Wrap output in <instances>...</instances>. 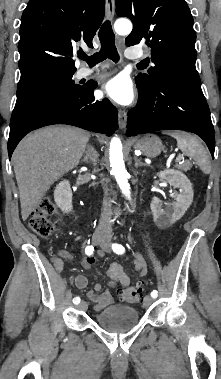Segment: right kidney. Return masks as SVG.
I'll list each match as a JSON object with an SVG mask.
<instances>
[{"label": "right kidney", "mask_w": 221, "mask_h": 379, "mask_svg": "<svg viewBox=\"0 0 221 379\" xmlns=\"http://www.w3.org/2000/svg\"><path fill=\"white\" fill-rule=\"evenodd\" d=\"M54 200L65 213L72 211V191L68 180L61 181L55 188Z\"/></svg>", "instance_id": "1"}]
</instances>
